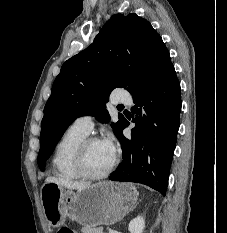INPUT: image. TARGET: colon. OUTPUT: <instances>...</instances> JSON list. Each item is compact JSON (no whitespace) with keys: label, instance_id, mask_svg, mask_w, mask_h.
<instances>
[{"label":"colon","instance_id":"1","mask_svg":"<svg viewBox=\"0 0 227 233\" xmlns=\"http://www.w3.org/2000/svg\"><path fill=\"white\" fill-rule=\"evenodd\" d=\"M56 233H76V232L70 228L61 227L58 229V231Z\"/></svg>","mask_w":227,"mask_h":233}]
</instances>
